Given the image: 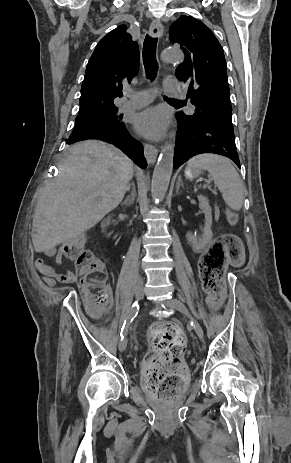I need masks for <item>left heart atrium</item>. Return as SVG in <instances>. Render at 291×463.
I'll return each mask as SVG.
<instances>
[{
  "label": "left heart atrium",
  "mask_w": 291,
  "mask_h": 463,
  "mask_svg": "<svg viewBox=\"0 0 291 463\" xmlns=\"http://www.w3.org/2000/svg\"><path fill=\"white\" fill-rule=\"evenodd\" d=\"M167 113L161 107H151L138 113L134 119L136 131L150 139H157L167 128Z\"/></svg>",
  "instance_id": "left-heart-atrium-1"
}]
</instances>
